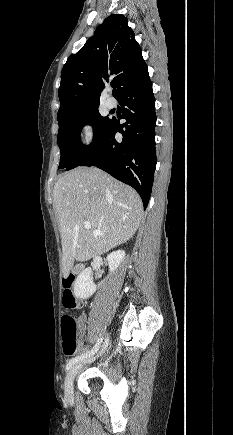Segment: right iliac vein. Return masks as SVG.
I'll return each mask as SVG.
<instances>
[{
	"label": "right iliac vein",
	"instance_id": "right-iliac-vein-1",
	"mask_svg": "<svg viewBox=\"0 0 233 435\" xmlns=\"http://www.w3.org/2000/svg\"><path fill=\"white\" fill-rule=\"evenodd\" d=\"M107 341L108 340H106V344H107ZM80 367H81L80 364H76L75 366H73L69 370V372H68V374L66 376V379H65V396H66L67 399H71L72 398L74 378H75L78 370L80 369Z\"/></svg>",
	"mask_w": 233,
	"mask_h": 435
}]
</instances>
